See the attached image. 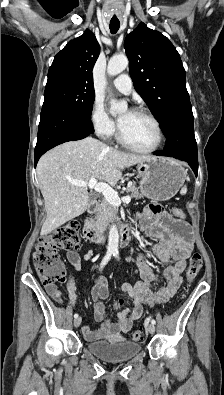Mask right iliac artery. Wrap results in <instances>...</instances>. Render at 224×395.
<instances>
[{
	"label": "right iliac artery",
	"mask_w": 224,
	"mask_h": 395,
	"mask_svg": "<svg viewBox=\"0 0 224 395\" xmlns=\"http://www.w3.org/2000/svg\"><path fill=\"white\" fill-rule=\"evenodd\" d=\"M111 256H112V252L108 251L106 253L105 257L103 258L101 264H100V269H102L108 263V261L110 260ZM78 317H79L78 314H74V318L75 319L78 318Z\"/></svg>",
	"instance_id": "obj_1"
}]
</instances>
